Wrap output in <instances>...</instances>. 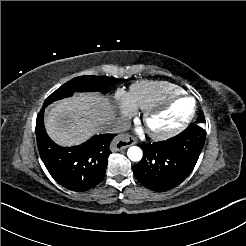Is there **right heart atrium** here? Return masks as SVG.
Here are the masks:
<instances>
[{"label": "right heart atrium", "mask_w": 246, "mask_h": 246, "mask_svg": "<svg viewBox=\"0 0 246 246\" xmlns=\"http://www.w3.org/2000/svg\"><path fill=\"white\" fill-rule=\"evenodd\" d=\"M115 100L120 104L122 113L131 112V98L127 93L123 91H118L115 95Z\"/></svg>", "instance_id": "right-heart-atrium-1"}]
</instances>
